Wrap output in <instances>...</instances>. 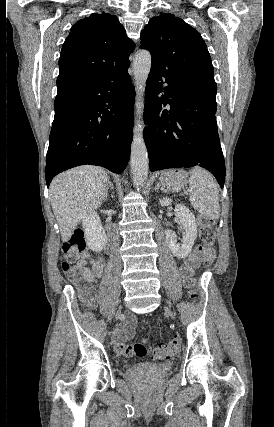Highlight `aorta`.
I'll use <instances>...</instances> for the list:
<instances>
[{
	"label": "aorta",
	"mask_w": 274,
	"mask_h": 427,
	"mask_svg": "<svg viewBox=\"0 0 274 427\" xmlns=\"http://www.w3.org/2000/svg\"><path fill=\"white\" fill-rule=\"evenodd\" d=\"M151 69V54L147 50H140L135 54L133 60V73L136 90L140 97L136 101V119L133 129V141L131 144V173L134 185L139 188L143 186L148 175L149 160L146 144L143 139L145 124L142 120L144 111V95L146 82Z\"/></svg>",
	"instance_id": "aorta-1"
}]
</instances>
